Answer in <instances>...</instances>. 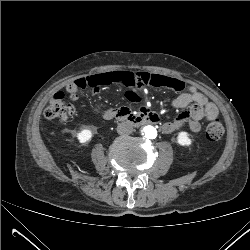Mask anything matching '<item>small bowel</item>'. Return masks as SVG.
Masks as SVG:
<instances>
[{
  "label": "small bowel",
  "instance_id": "c3829d8e",
  "mask_svg": "<svg viewBox=\"0 0 250 250\" xmlns=\"http://www.w3.org/2000/svg\"><path fill=\"white\" fill-rule=\"evenodd\" d=\"M159 76L166 79L162 83V87L172 88L177 91L185 90L173 100L175 107L184 110L173 120L163 124L162 129L165 133H171L184 124H187L193 132H198L201 129V120L211 121L218 116L217 106L198 87L194 85L187 86L182 80L171 76ZM135 86L132 85L131 87L134 88ZM131 93L135 95L134 92Z\"/></svg>",
  "mask_w": 250,
  "mask_h": 250
}]
</instances>
